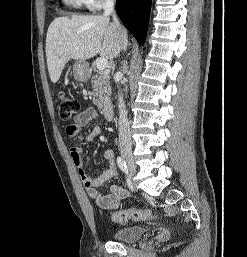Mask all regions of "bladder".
I'll use <instances>...</instances> for the list:
<instances>
[{"label": "bladder", "instance_id": "31cf9c89", "mask_svg": "<svg viewBox=\"0 0 247 257\" xmlns=\"http://www.w3.org/2000/svg\"><path fill=\"white\" fill-rule=\"evenodd\" d=\"M146 231L145 227L138 225L122 227L114 229L111 232V237L117 242L132 243L141 239L145 235Z\"/></svg>", "mask_w": 247, "mask_h": 257}]
</instances>
